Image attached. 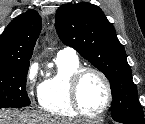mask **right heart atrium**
Listing matches in <instances>:
<instances>
[{
    "label": "right heart atrium",
    "instance_id": "d8ad5b80",
    "mask_svg": "<svg viewBox=\"0 0 145 124\" xmlns=\"http://www.w3.org/2000/svg\"><path fill=\"white\" fill-rule=\"evenodd\" d=\"M36 74H37V65L33 64V65H31L29 72H28V80H29L30 84H34ZM38 90H39V88H38ZM30 93L32 94L31 89H30Z\"/></svg>",
    "mask_w": 145,
    "mask_h": 124
}]
</instances>
